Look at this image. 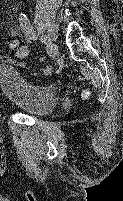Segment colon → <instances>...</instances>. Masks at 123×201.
<instances>
[{
    "label": "colon",
    "instance_id": "obj_1",
    "mask_svg": "<svg viewBox=\"0 0 123 201\" xmlns=\"http://www.w3.org/2000/svg\"><path fill=\"white\" fill-rule=\"evenodd\" d=\"M9 44H10V46H11L13 49L16 50L17 55H18L19 57H21V58L25 57V55H26V50H25V48L20 47V46L18 45L17 41L12 40V41H10ZM84 95H85V97H88V96H89V92H85Z\"/></svg>",
    "mask_w": 123,
    "mask_h": 201
}]
</instances>
